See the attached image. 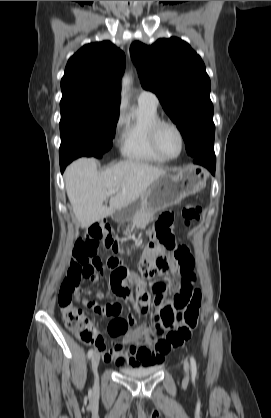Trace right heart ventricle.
<instances>
[{"instance_id":"obj_1","label":"right heart ventricle","mask_w":271,"mask_h":418,"mask_svg":"<svg viewBox=\"0 0 271 418\" xmlns=\"http://www.w3.org/2000/svg\"><path fill=\"white\" fill-rule=\"evenodd\" d=\"M159 119L157 107L138 103L124 120L121 153L125 158L155 164L166 162L155 152L150 142L151 127Z\"/></svg>"}]
</instances>
